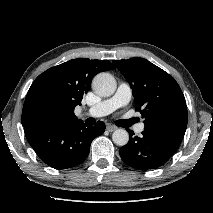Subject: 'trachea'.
<instances>
[{
	"label": "trachea",
	"instance_id": "obj_1",
	"mask_svg": "<svg viewBox=\"0 0 213 213\" xmlns=\"http://www.w3.org/2000/svg\"><path fill=\"white\" fill-rule=\"evenodd\" d=\"M135 122V119H130L129 121H126V124L127 125H130V124H132V123H134Z\"/></svg>",
	"mask_w": 213,
	"mask_h": 213
}]
</instances>
